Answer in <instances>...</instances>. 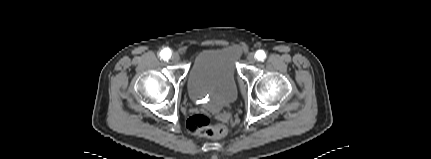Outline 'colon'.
Instances as JSON below:
<instances>
[{"label":"colon","instance_id":"5ec220e1","mask_svg":"<svg viewBox=\"0 0 431 159\" xmlns=\"http://www.w3.org/2000/svg\"><path fill=\"white\" fill-rule=\"evenodd\" d=\"M186 126L191 134L209 138H221L227 133V128L223 124H212L210 118L204 113L191 115Z\"/></svg>","mask_w":431,"mask_h":159}]
</instances>
